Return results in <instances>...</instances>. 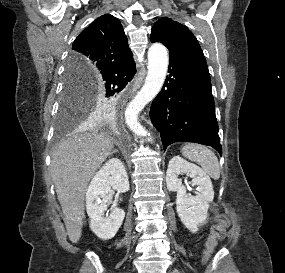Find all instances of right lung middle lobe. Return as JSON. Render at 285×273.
<instances>
[{
	"label": "right lung middle lobe",
	"mask_w": 285,
	"mask_h": 273,
	"mask_svg": "<svg viewBox=\"0 0 285 273\" xmlns=\"http://www.w3.org/2000/svg\"><path fill=\"white\" fill-rule=\"evenodd\" d=\"M116 97L117 94L107 96L91 86L87 78H81L67 69L58 118L59 129H66L87 117L97 106L115 105Z\"/></svg>",
	"instance_id": "dd1d6c3e"
}]
</instances>
